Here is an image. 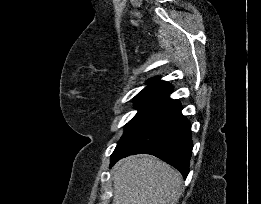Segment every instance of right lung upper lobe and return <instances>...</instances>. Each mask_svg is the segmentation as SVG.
<instances>
[{"label":"right lung upper lobe","instance_id":"cb5924a9","mask_svg":"<svg viewBox=\"0 0 261 204\" xmlns=\"http://www.w3.org/2000/svg\"><path fill=\"white\" fill-rule=\"evenodd\" d=\"M148 83L147 87H145L139 94H159L168 96L173 90L168 82L160 81L158 79H152Z\"/></svg>","mask_w":261,"mask_h":204}]
</instances>
